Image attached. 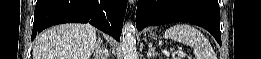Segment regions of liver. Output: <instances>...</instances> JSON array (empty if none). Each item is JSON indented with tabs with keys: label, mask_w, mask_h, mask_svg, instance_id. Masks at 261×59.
Masks as SVG:
<instances>
[{
	"label": "liver",
	"mask_w": 261,
	"mask_h": 59,
	"mask_svg": "<svg viewBox=\"0 0 261 59\" xmlns=\"http://www.w3.org/2000/svg\"><path fill=\"white\" fill-rule=\"evenodd\" d=\"M97 41L90 24H62L39 34L33 59H89Z\"/></svg>",
	"instance_id": "6515ba94"
}]
</instances>
